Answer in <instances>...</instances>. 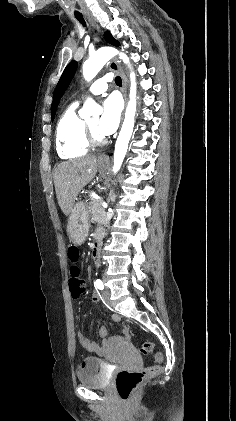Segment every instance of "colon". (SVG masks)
I'll return each instance as SVG.
<instances>
[{
    "instance_id": "obj_1",
    "label": "colon",
    "mask_w": 236,
    "mask_h": 421,
    "mask_svg": "<svg viewBox=\"0 0 236 421\" xmlns=\"http://www.w3.org/2000/svg\"><path fill=\"white\" fill-rule=\"evenodd\" d=\"M69 258L72 262H76L79 257V251L76 247L69 248ZM69 291L71 296L75 299L79 298L84 292V281L80 277V272L77 267L71 268V276L69 279ZM154 351V344L152 342H145L141 347V352L144 355H149ZM157 361H162L160 354L156 355ZM161 371L160 365L148 366L140 370L124 369L117 373L115 378L116 389L120 397L126 401L130 398L132 393L141 385V383L151 377L159 374Z\"/></svg>"
}]
</instances>
